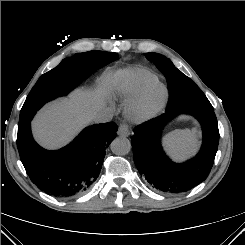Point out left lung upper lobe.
<instances>
[{
	"instance_id": "left-lung-upper-lobe-1",
	"label": "left lung upper lobe",
	"mask_w": 245,
	"mask_h": 245,
	"mask_svg": "<svg viewBox=\"0 0 245 245\" xmlns=\"http://www.w3.org/2000/svg\"><path fill=\"white\" fill-rule=\"evenodd\" d=\"M145 56L156 65L167 79L171 92L167 109L171 110L180 106L213 108L200 88L178 70L170 59L158 53H146Z\"/></svg>"
}]
</instances>
